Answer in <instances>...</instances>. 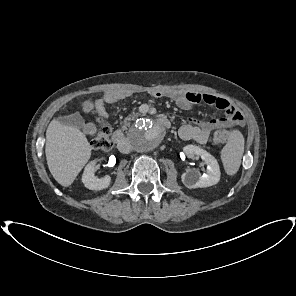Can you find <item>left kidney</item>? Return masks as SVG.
<instances>
[{"label": "left kidney", "instance_id": "5707ae66", "mask_svg": "<svg viewBox=\"0 0 296 296\" xmlns=\"http://www.w3.org/2000/svg\"><path fill=\"white\" fill-rule=\"evenodd\" d=\"M184 153L189 158H195L196 156L201 157V159L207 164L206 173L203 175L194 170H187L182 174L181 180L185 187L189 189L204 188L219 182L221 173L219 164L214 156L196 145L185 146Z\"/></svg>", "mask_w": 296, "mask_h": 296}]
</instances>
